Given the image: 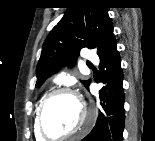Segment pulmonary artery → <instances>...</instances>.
<instances>
[{
  "mask_svg": "<svg viewBox=\"0 0 155 141\" xmlns=\"http://www.w3.org/2000/svg\"><path fill=\"white\" fill-rule=\"evenodd\" d=\"M84 52H85L84 57L90 64L98 63V57L96 55H94L92 52H90L87 49H85Z\"/></svg>",
  "mask_w": 155,
  "mask_h": 141,
  "instance_id": "obj_1",
  "label": "pulmonary artery"
}]
</instances>
